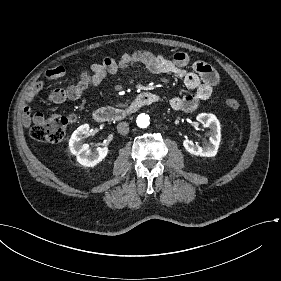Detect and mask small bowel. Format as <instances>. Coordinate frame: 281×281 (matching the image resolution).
Wrapping results in <instances>:
<instances>
[{
    "label": "small bowel",
    "mask_w": 281,
    "mask_h": 281,
    "mask_svg": "<svg viewBox=\"0 0 281 281\" xmlns=\"http://www.w3.org/2000/svg\"><path fill=\"white\" fill-rule=\"evenodd\" d=\"M189 56L184 52H177L171 58H167L149 51L137 50L124 53L119 58L106 56L101 62L92 64L89 68L81 70L76 83L66 88H56L49 94V100L53 103H63L67 100H78L92 88L100 85L109 74L119 70L143 66L154 74L169 73L183 80L186 87L193 91L183 96H173L169 100L171 109L179 112H193L201 102L207 100L213 93V89L219 83V75L214 68L203 61H196L189 70ZM65 75V68L57 66L48 69L44 76L47 79H58ZM43 88V82H36L26 94V105L23 109L22 122L28 127L33 120L40 123L43 115L35 112L31 116L30 104ZM151 100L148 104L158 102L160 96L150 93Z\"/></svg>",
    "instance_id": "c3829d8e"
}]
</instances>
